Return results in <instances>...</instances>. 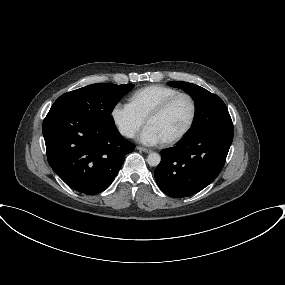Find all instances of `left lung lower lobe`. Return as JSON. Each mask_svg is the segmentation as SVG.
<instances>
[{
	"label": "left lung lower lobe",
	"mask_w": 285,
	"mask_h": 285,
	"mask_svg": "<svg viewBox=\"0 0 285 285\" xmlns=\"http://www.w3.org/2000/svg\"><path fill=\"white\" fill-rule=\"evenodd\" d=\"M233 140V126L216 125L189 132L176 147L161 152L155 179L167 195L191 196L213 182L222 170Z\"/></svg>",
	"instance_id": "left-lung-lower-lobe-1"
}]
</instances>
